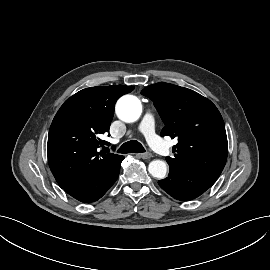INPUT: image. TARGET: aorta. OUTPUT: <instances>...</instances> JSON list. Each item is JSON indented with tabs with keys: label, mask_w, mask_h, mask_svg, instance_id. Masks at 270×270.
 Returning a JSON list of instances; mask_svg holds the SVG:
<instances>
[{
	"label": "aorta",
	"mask_w": 270,
	"mask_h": 270,
	"mask_svg": "<svg viewBox=\"0 0 270 270\" xmlns=\"http://www.w3.org/2000/svg\"><path fill=\"white\" fill-rule=\"evenodd\" d=\"M142 113L140 100L133 95L121 97L116 104V114L124 122L131 123L139 119ZM149 173L157 179L166 177L167 165L162 160H153L148 166Z\"/></svg>",
	"instance_id": "aorta-1"
}]
</instances>
